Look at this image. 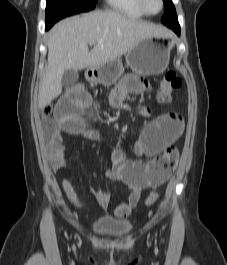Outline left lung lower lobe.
Returning <instances> with one entry per match:
<instances>
[{"mask_svg":"<svg viewBox=\"0 0 227 265\" xmlns=\"http://www.w3.org/2000/svg\"><path fill=\"white\" fill-rule=\"evenodd\" d=\"M171 29H173L178 35H180V26H175V25H171V27H169Z\"/></svg>","mask_w":227,"mask_h":265,"instance_id":"left-lung-lower-lobe-1","label":"left lung lower lobe"}]
</instances>
